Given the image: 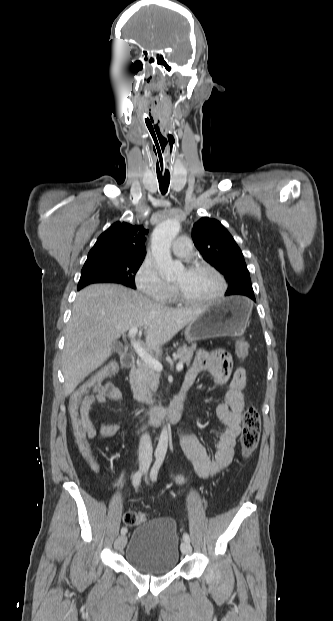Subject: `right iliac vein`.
<instances>
[{"instance_id":"right-iliac-vein-1","label":"right iliac vein","mask_w":333,"mask_h":621,"mask_svg":"<svg viewBox=\"0 0 333 621\" xmlns=\"http://www.w3.org/2000/svg\"><path fill=\"white\" fill-rule=\"evenodd\" d=\"M127 542V537L126 536H119L115 543H114V547L116 550H122Z\"/></svg>"}]
</instances>
